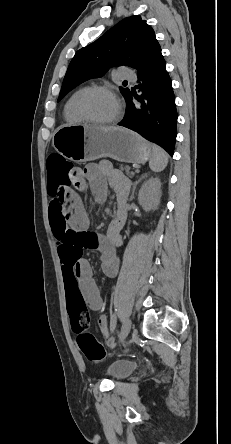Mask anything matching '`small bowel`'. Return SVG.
<instances>
[{"label": "small bowel", "mask_w": 231, "mask_h": 444, "mask_svg": "<svg viewBox=\"0 0 231 444\" xmlns=\"http://www.w3.org/2000/svg\"><path fill=\"white\" fill-rule=\"evenodd\" d=\"M85 190L90 186L94 197L103 200L109 189L116 194L118 210L106 233L89 231V218L78 194L71 188ZM128 192L127 181L109 164L89 165L72 177L69 187L57 201L49 206V221L58 246L66 292H78L90 309L98 311L103 302L93 279L89 263L83 258V249L101 253V268L104 274L115 276L119 266L117 248L122 243L121 228L125 220L124 202ZM98 326L108 336V323L104 315L98 318Z\"/></svg>", "instance_id": "obj_1"}]
</instances>
